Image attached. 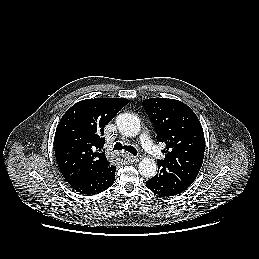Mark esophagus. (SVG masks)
Returning <instances> with one entry per match:
<instances>
[{
	"mask_svg": "<svg viewBox=\"0 0 259 259\" xmlns=\"http://www.w3.org/2000/svg\"><path fill=\"white\" fill-rule=\"evenodd\" d=\"M127 160H128L129 162H131V163H136V162L139 161V158L136 157V156H133V155L128 154V155H127Z\"/></svg>",
	"mask_w": 259,
	"mask_h": 259,
	"instance_id": "obj_1",
	"label": "esophagus"
}]
</instances>
